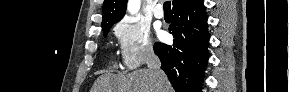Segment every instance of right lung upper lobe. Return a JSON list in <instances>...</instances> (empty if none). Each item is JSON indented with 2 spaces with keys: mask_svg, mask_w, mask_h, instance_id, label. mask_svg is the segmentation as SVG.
<instances>
[{
  "mask_svg": "<svg viewBox=\"0 0 289 92\" xmlns=\"http://www.w3.org/2000/svg\"><path fill=\"white\" fill-rule=\"evenodd\" d=\"M196 0H173V8L188 6ZM127 0H104L102 28L120 21L126 11Z\"/></svg>",
  "mask_w": 289,
  "mask_h": 92,
  "instance_id": "obj_1",
  "label": "right lung upper lobe"
}]
</instances>
